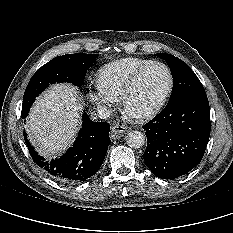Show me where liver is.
I'll use <instances>...</instances> for the list:
<instances>
[{"instance_id": "1", "label": "liver", "mask_w": 233, "mask_h": 233, "mask_svg": "<svg viewBox=\"0 0 233 233\" xmlns=\"http://www.w3.org/2000/svg\"><path fill=\"white\" fill-rule=\"evenodd\" d=\"M82 108L76 88L68 84L53 86L36 101L27 127L42 155L52 158L72 144Z\"/></svg>"}]
</instances>
